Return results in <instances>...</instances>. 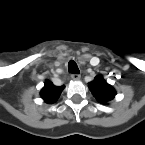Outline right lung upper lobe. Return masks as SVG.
<instances>
[{"instance_id": "cb5924a9", "label": "right lung upper lobe", "mask_w": 145, "mask_h": 145, "mask_svg": "<svg viewBox=\"0 0 145 145\" xmlns=\"http://www.w3.org/2000/svg\"><path fill=\"white\" fill-rule=\"evenodd\" d=\"M63 88H64V86L58 87V86H55L52 82L47 81L44 84V87L41 91V97L48 104H52L53 102H55L58 99Z\"/></svg>"}]
</instances>
